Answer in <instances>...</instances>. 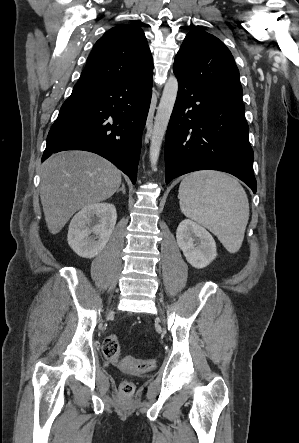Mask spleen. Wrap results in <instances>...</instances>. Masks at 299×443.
Instances as JSON below:
<instances>
[{
	"instance_id": "spleen-1",
	"label": "spleen",
	"mask_w": 299,
	"mask_h": 443,
	"mask_svg": "<svg viewBox=\"0 0 299 443\" xmlns=\"http://www.w3.org/2000/svg\"><path fill=\"white\" fill-rule=\"evenodd\" d=\"M178 198L185 216L213 232L229 252L239 250L249 203L236 179L221 172H196L183 179Z\"/></svg>"
}]
</instances>
